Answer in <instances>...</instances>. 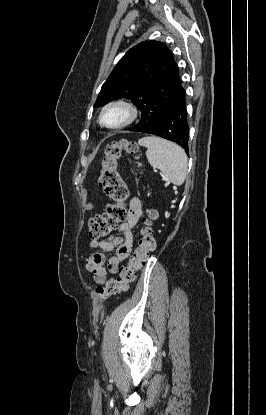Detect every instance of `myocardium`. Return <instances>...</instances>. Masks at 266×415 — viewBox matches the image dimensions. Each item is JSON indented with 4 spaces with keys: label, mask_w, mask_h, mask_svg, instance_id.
Masks as SVG:
<instances>
[{
    "label": "myocardium",
    "mask_w": 266,
    "mask_h": 415,
    "mask_svg": "<svg viewBox=\"0 0 266 415\" xmlns=\"http://www.w3.org/2000/svg\"><path fill=\"white\" fill-rule=\"evenodd\" d=\"M113 108H120L125 112V118L116 125H108L104 122L105 113ZM137 118L136 107L125 99H115L105 104L99 115V123L110 130H118L129 126Z\"/></svg>",
    "instance_id": "obj_1"
}]
</instances>
